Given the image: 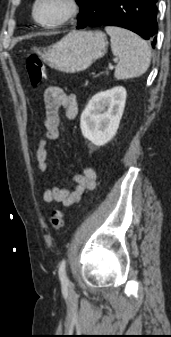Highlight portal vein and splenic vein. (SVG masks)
<instances>
[{
  "label": "portal vein and splenic vein",
  "instance_id": "portal-vein-and-splenic-vein-1",
  "mask_svg": "<svg viewBox=\"0 0 171 337\" xmlns=\"http://www.w3.org/2000/svg\"><path fill=\"white\" fill-rule=\"evenodd\" d=\"M109 70H113V66H109Z\"/></svg>",
  "mask_w": 171,
  "mask_h": 337
}]
</instances>
